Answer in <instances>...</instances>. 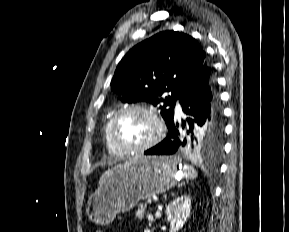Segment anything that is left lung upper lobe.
<instances>
[{
	"mask_svg": "<svg viewBox=\"0 0 289 232\" xmlns=\"http://www.w3.org/2000/svg\"><path fill=\"white\" fill-rule=\"evenodd\" d=\"M206 53L191 36L160 32L134 46L118 64L111 91L123 102L146 101L159 107L166 125L181 94L205 63ZM170 92V95L167 93ZM223 123H209L187 136L185 151L221 150Z\"/></svg>",
	"mask_w": 289,
	"mask_h": 232,
	"instance_id": "5c2ea615",
	"label": "left lung upper lobe"
}]
</instances>
